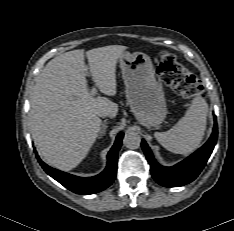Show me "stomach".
I'll use <instances>...</instances> for the list:
<instances>
[{
    "mask_svg": "<svg viewBox=\"0 0 234 231\" xmlns=\"http://www.w3.org/2000/svg\"><path fill=\"white\" fill-rule=\"evenodd\" d=\"M119 63L127 103L136 119L146 127L161 124L167 115V104L150 57L142 52H123Z\"/></svg>",
    "mask_w": 234,
    "mask_h": 231,
    "instance_id": "stomach-1",
    "label": "stomach"
}]
</instances>
